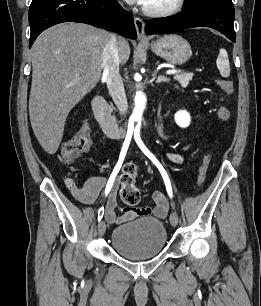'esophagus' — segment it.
Segmentation results:
<instances>
[{"label": "esophagus", "instance_id": "esophagus-1", "mask_svg": "<svg viewBox=\"0 0 261 306\" xmlns=\"http://www.w3.org/2000/svg\"><path fill=\"white\" fill-rule=\"evenodd\" d=\"M134 24H135L138 39L147 40V37L145 35L144 21L139 17H134Z\"/></svg>", "mask_w": 261, "mask_h": 306}]
</instances>
